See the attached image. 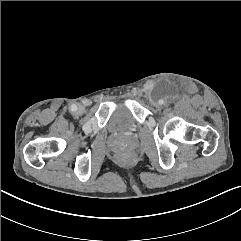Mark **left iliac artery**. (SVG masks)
I'll return each instance as SVG.
<instances>
[{"mask_svg": "<svg viewBox=\"0 0 241 241\" xmlns=\"http://www.w3.org/2000/svg\"><path fill=\"white\" fill-rule=\"evenodd\" d=\"M159 103H160V104H163V103H164V101H163V100H159Z\"/></svg>", "mask_w": 241, "mask_h": 241, "instance_id": "44dca946", "label": "left iliac artery"}]
</instances>
